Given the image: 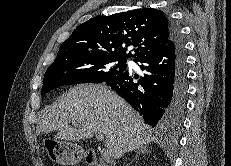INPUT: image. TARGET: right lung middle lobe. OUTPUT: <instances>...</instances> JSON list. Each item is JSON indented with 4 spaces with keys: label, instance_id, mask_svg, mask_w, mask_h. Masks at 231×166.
I'll list each match as a JSON object with an SVG mask.
<instances>
[{
    "label": "right lung middle lobe",
    "instance_id": "right-lung-middle-lobe-1",
    "mask_svg": "<svg viewBox=\"0 0 231 166\" xmlns=\"http://www.w3.org/2000/svg\"><path fill=\"white\" fill-rule=\"evenodd\" d=\"M126 67L125 59L96 53L56 58L45 72L41 95L62 85L103 83Z\"/></svg>",
    "mask_w": 231,
    "mask_h": 166
}]
</instances>
